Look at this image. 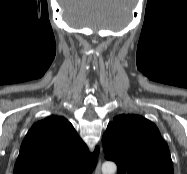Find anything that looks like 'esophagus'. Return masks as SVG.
<instances>
[{
  "instance_id": "obj_1",
  "label": "esophagus",
  "mask_w": 187,
  "mask_h": 174,
  "mask_svg": "<svg viewBox=\"0 0 187 174\" xmlns=\"http://www.w3.org/2000/svg\"><path fill=\"white\" fill-rule=\"evenodd\" d=\"M95 174H101V161H99L96 166Z\"/></svg>"
}]
</instances>
